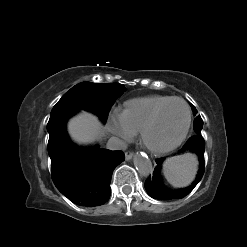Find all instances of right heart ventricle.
Wrapping results in <instances>:
<instances>
[{"label":"right heart ventricle","instance_id":"e07e8e85","mask_svg":"<svg viewBox=\"0 0 247 247\" xmlns=\"http://www.w3.org/2000/svg\"><path fill=\"white\" fill-rule=\"evenodd\" d=\"M170 98L172 97L166 95H149L131 99L125 103L122 113L133 131L138 132L154 110Z\"/></svg>","mask_w":247,"mask_h":247}]
</instances>
